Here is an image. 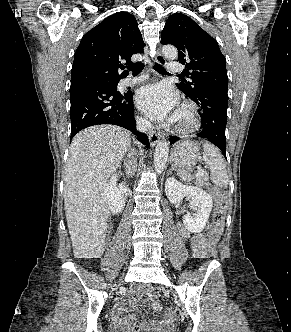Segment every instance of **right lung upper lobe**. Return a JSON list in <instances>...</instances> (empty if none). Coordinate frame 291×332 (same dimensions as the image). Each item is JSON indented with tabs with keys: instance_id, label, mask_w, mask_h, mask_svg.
<instances>
[{
	"instance_id": "obj_1",
	"label": "right lung upper lobe",
	"mask_w": 291,
	"mask_h": 332,
	"mask_svg": "<svg viewBox=\"0 0 291 332\" xmlns=\"http://www.w3.org/2000/svg\"><path fill=\"white\" fill-rule=\"evenodd\" d=\"M145 44L137 21L127 12H117L88 31L75 52L71 88L95 81L119 82L128 75L134 54L143 53ZM123 62H126L125 64Z\"/></svg>"
}]
</instances>
